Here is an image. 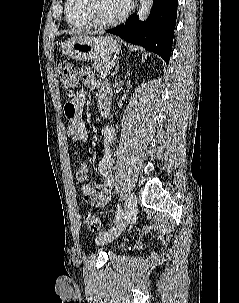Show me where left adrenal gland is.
<instances>
[{
    "mask_svg": "<svg viewBox=\"0 0 239 303\" xmlns=\"http://www.w3.org/2000/svg\"><path fill=\"white\" fill-rule=\"evenodd\" d=\"M118 71H119V62H116L115 69H114L113 73L111 74V76L116 75L118 73Z\"/></svg>",
    "mask_w": 239,
    "mask_h": 303,
    "instance_id": "obj_1",
    "label": "left adrenal gland"
}]
</instances>
